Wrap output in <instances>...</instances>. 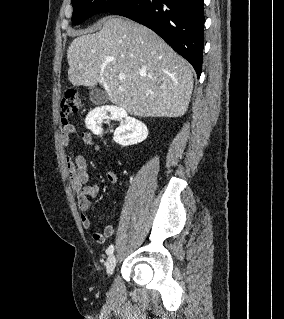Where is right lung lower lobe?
<instances>
[{
	"mask_svg": "<svg viewBox=\"0 0 284 319\" xmlns=\"http://www.w3.org/2000/svg\"><path fill=\"white\" fill-rule=\"evenodd\" d=\"M141 23L162 37L201 74L203 0H130L109 11Z\"/></svg>",
	"mask_w": 284,
	"mask_h": 319,
	"instance_id": "right-lung-lower-lobe-1",
	"label": "right lung lower lobe"
}]
</instances>
